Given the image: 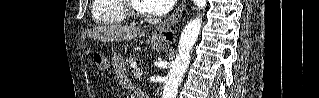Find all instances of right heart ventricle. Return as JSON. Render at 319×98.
<instances>
[{
	"label": "right heart ventricle",
	"mask_w": 319,
	"mask_h": 98,
	"mask_svg": "<svg viewBox=\"0 0 319 98\" xmlns=\"http://www.w3.org/2000/svg\"><path fill=\"white\" fill-rule=\"evenodd\" d=\"M123 0H95L92 5V18L97 24H119L127 17L125 15Z\"/></svg>",
	"instance_id": "1"
}]
</instances>
